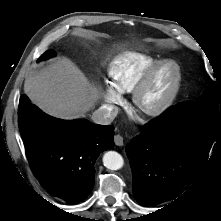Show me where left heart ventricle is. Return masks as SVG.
Instances as JSON below:
<instances>
[{
  "instance_id": "b2bd125f",
  "label": "left heart ventricle",
  "mask_w": 221,
  "mask_h": 221,
  "mask_svg": "<svg viewBox=\"0 0 221 221\" xmlns=\"http://www.w3.org/2000/svg\"><path fill=\"white\" fill-rule=\"evenodd\" d=\"M174 79L171 66L162 67L156 74L154 81L144 96L146 105H153L161 101L169 93Z\"/></svg>"
}]
</instances>
